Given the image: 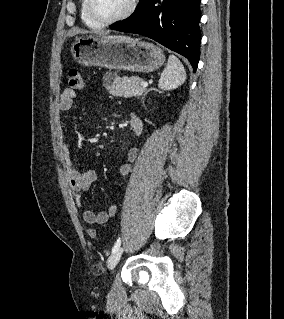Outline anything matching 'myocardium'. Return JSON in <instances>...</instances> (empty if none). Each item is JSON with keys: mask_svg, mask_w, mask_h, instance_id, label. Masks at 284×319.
<instances>
[{"mask_svg": "<svg viewBox=\"0 0 284 319\" xmlns=\"http://www.w3.org/2000/svg\"><path fill=\"white\" fill-rule=\"evenodd\" d=\"M138 0H129L128 6L126 9L118 16L111 18V19H103L99 17L93 8V0H86V9L89 17L96 23L100 24L101 26H109L123 20L129 18L136 9Z\"/></svg>", "mask_w": 284, "mask_h": 319, "instance_id": "myocardium-1", "label": "myocardium"}]
</instances>
